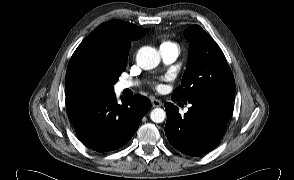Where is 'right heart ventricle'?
<instances>
[{
	"mask_svg": "<svg viewBox=\"0 0 294 180\" xmlns=\"http://www.w3.org/2000/svg\"><path fill=\"white\" fill-rule=\"evenodd\" d=\"M171 46H175L176 47V45L174 43L170 42V41H162L160 43L159 48L161 49V48L171 47Z\"/></svg>",
	"mask_w": 294,
	"mask_h": 180,
	"instance_id": "obj_1",
	"label": "right heart ventricle"
}]
</instances>
